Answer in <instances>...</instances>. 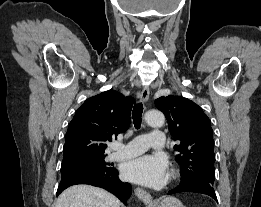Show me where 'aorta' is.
I'll return each mask as SVG.
<instances>
[{
	"label": "aorta",
	"instance_id": "1",
	"mask_svg": "<svg viewBox=\"0 0 261 207\" xmlns=\"http://www.w3.org/2000/svg\"><path fill=\"white\" fill-rule=\"evenodd\" d=\"M145 121L151 127H162L165 122L164 114L158 110H150L145 114Z\"/></svg>",
	"mask_w": 261,
	"mask_h": 207
}]
</instances>
